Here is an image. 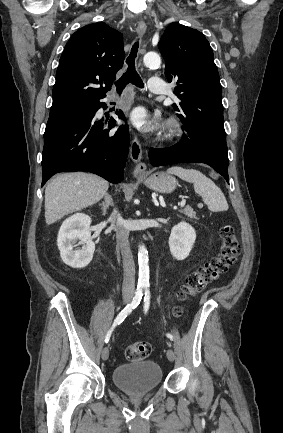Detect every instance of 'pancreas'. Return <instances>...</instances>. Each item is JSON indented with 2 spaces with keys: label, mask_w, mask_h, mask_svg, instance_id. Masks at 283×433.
<instances>
[{
  "label": "pancreas",
  "mask_w": 283,
  "mask_h": 433,
  "mask_svg": "<svg viewBox=\"0 0 283 433\" xmlns=\"http://www.w3.org/2000/svg\"><path fill=\"white\" fill-rule=\"evenodd\" d=\"M182 212L187 214V217H190V219H196V212L193 210L192 206H186V208H183Z\"/></svg>",
  "instance_id": "1"
}]
</instances>
